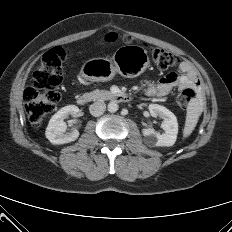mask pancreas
<instances>
[{
	"label": "pancreas",
	"mask_w": 232,
	"mask_h": 232,
	"mask_svg": "<svg viewBox=\"0 0 232 232\" xmlns=\"http://www.w3.org/2000/svg\"><path fill=\"white\" fill-rule=\"evenodd\" d=\"M87 96L91 100H107L113 97V94L106 90H95L93 92L87 93Z\"/></svg>",
	"instance_id": "obj_1"
}]
</instances>
